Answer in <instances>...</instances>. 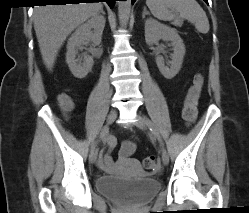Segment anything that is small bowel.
I'll use <instances>...</instances> for the list:
<instances>
[{
    "mask_svg": "<svg viewBox=\"0 0 249 213\" xmlns=\"http://www.w3.org/2000/svg\"><path fill=\"white\" fill-rule=\"evenodd\" d=\"M116 143V139L112 136H109L107 138V150H102L98 155L97 166L101 170L108 173L113 172L116 168V163L111 156V151L116 146ZM135 149L136 145L134 142L129 140L123 141L119 151V159L121 161L126 160L134 153Z\"/></svg>",
    "mask_w": 249,
    "mask_h": 213,
    "instance_id": "small-bowel-1",
    "label": "small bowel"
}]
</instances>
